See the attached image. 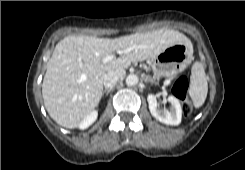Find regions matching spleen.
Segmentation results:
<instances>
[{
    "mask_svg": "<svg viewBox=\"0 0 245 170\" xmlns=\"http://www.w3.org/2000/svg\"><path fill=\"white\" fill-rule=\"evenodd\" d=\"M188 92L196 108L204 104L208 93V83L204 67L200 62H195L192 66Z\"/></svg>",
    "mask_w": 245,
    "mask_h": 170,
    "instance_id": "spleen-1",
    "label": "spleen"
}]
</instances>
